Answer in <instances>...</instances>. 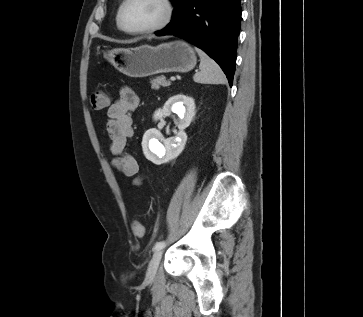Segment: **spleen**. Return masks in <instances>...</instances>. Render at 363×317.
Here are the masks:
<instances>
[{"label":"spleen","instance_id":"3e777b00","mask_svg":"<svg viewBox=\"0 0 363 317\" xmlns=\"http://www.w3.org/2000/svg\"><path fill=\"white\" fill-rule=\"evenodd\" d=\"M200 57V71L193 76V80L202 84H225L226 76L220 66L204 51L195 48Z\"/></svg>","mask_w":363,"mask_h":317}]
</instances>
